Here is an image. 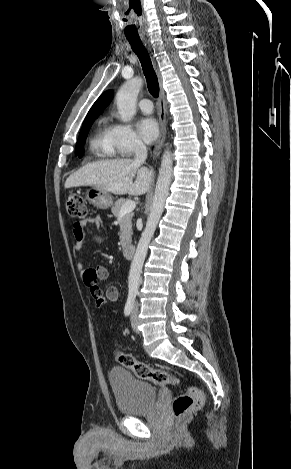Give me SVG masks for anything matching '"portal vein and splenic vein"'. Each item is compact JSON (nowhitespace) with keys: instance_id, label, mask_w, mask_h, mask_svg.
Instances as JSON below:
<instances>
[{"instance_id":"obj_1","label":"portal vein and splenic vein","mask_w":291,"mask_h":469,"mask_svg":"<svg viewBox=\"0 0 291 469\" xmlns=\"http://www.w3.org/2000/svg\"><path fill=\"white\" fill-rule=\"evenodd\" d=\"M136 207V203L134 201H127L121 208L120 214H126L133 211Z\"/></svg>"}]
</instances>
